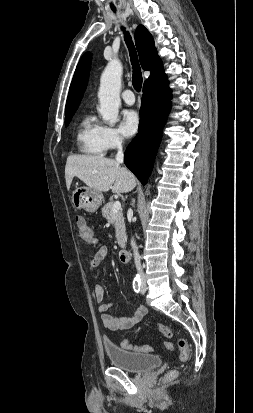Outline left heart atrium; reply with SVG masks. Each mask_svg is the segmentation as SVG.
I'll use <instances>...</instances> for the list:
<instances>
[{
    "instance_id": "39dd6f15",
    "label": "left heart atrium",
    "mask_w": 253,
    "mask_h": 413,
    "mask_svg": "<svg viewBox=\"0 0 253 413\" xmlns=\"http://www.w3.org/2000/svg\"><path fill=\"white\" fill-rule=\"evenodd\" d=\"M139 126L140 117L135 110H126L123 112L120 128L126 137L135 135L138 132Z\"/></svg>"
}]
</instances>
